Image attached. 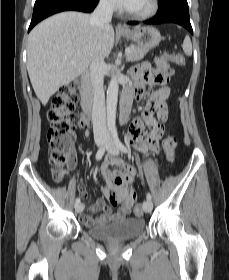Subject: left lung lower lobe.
Returning a JSON list of instances; mask_svg holds the SVG:
<instances>
[{
  "instance_id": "1",
  "label": "left lung lower lobe",
  "mask_w": 229,
  "mask_h": 280,
  "mask_svg": "<svg viewBox=\"0 0 229 280\" xmlns=\"http://www.w3.org/2000/svg\"><path fill=\"white\" fill-rule=\"evenodd\" d=\"M138 22H129L137 24ZM146 24L176 23L185 27L191 34L193 30L189 19V8L187 0H164L161 2L158 14L144 21Z\"/></svg>"
}]
</instances>
